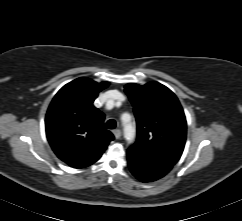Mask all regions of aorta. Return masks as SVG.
Returning <instances> with one entry per match:
<instances>
[{
    "instance_id": "obj_1",
    "label": "aorta",
    "mask_w": 242,
    "mask_h": 221,
    "mask_svg": "<svg viewBox=\"0 0 242 221\" xmlns=\"http://www.w3.org/2000/svg\"><path fill=\"white\" fill-rule=\"evenodd\" d=\"M128 114L123 116V125H124V137L128 142H132L135 138V126L130 122V120H125V117H128Z\"/></svg>"
}]
</instances>
